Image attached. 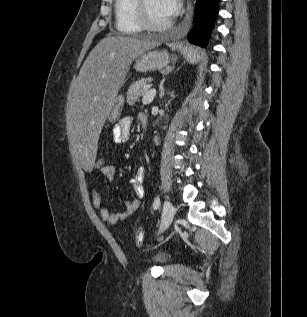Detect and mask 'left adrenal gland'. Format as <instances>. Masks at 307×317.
Wrapping results in <instances>:
<instances>
[{
	"label": "left adrenal gland",
	"instance_id": "1",
	"mask_svg": "<svg viewBox=\"0 0 307 317\" xmlns=\"http://www.w3.org/2000/svg\"><path fill=\"white\" fill-rule=\"evenodd\" d=\"M164 80L160 83V87H159V97L160 99H162V97L164 96V93H165V89H164Z\"/></svg>",
	"mask_w": 307,
	"mask_h": 317
}]
</instances>
